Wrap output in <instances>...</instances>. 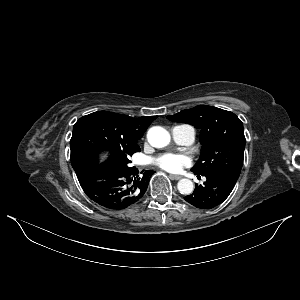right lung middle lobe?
Masks as SVG:
<instances>
[{
  "label": "right lung middle lobe",
  "mask_w": 300,
  "mask_h": 300,
  "mask_svg": "<svg viewBox=\"0 0 300 300\" xmlns=\"http://www.w3.org/2000/svg\"><path fill=\"white\" fill-rule=\"evenodd\" d=\"M71 164L77 169L88 161H95L102 150L110 153L109 160L129 166V157L140 151L117 135L95 112L81 117L73 126L70 140Z\"/></svg>",
  "instance_id": "dd1d6c3e"
}]
</instances>
